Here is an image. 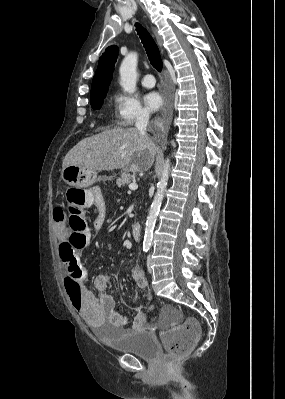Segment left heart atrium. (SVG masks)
<instances>
[{"label": "left heart atrium", "mask_w": 285, "mask_h": 399, "mask_svg": "<svg viewBox=\"0 0 285 399\" xmlns=\"http://www.w3.org/2000/svg\"><path fill=\"white\" fill-rule=\"evenodd\" d=\"M144 102L150 111H157L162 105V97L157 92H149L144 96Z\"/></svg>", "instance_id": "1"}]
</instances>
